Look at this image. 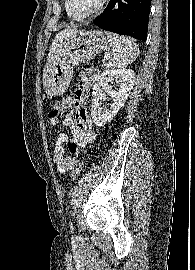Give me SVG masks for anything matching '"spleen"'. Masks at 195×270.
Masks as SVG:
<instances>
[{"instance_id":"3e777b00","label":"spleen","mask_w":195,"mask_h":270,"mask_svg":"<svg viewBox=\"0 0 195 270\" xmlns=\"http://www.w3.org/2000/svg\"><path fill=\"white\" fill-rule=\"evenodd\" d=\"M104 35L110 42L113 51V57L109 62V66L113 68H124L138 57L139 48L130 37L121 36L109 31H105Z\"/></svg>"}]
</instances>
